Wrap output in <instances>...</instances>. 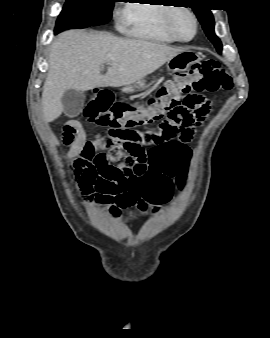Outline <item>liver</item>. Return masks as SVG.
Returning <instances> with one entry per match:
<instances>
[{"instance_id":"1","label":"liver","mask_w":270,"mask_h":338,"mask_svg":"<svg viewBox=\"0 0 270 338\" xmlns=\"http://www.w3.org/2000/svg\"><path fill=\"white\" fill-rule=\"evenodd\" d=\"M184 48L140 39H121L109 33L68 30L58 35L49 55V71L43 86L42 112L52 122L63 112L66 90L127 86L164 65ZM112 63L106 74L101 67Z\"/></svg>"}]
</instances>
